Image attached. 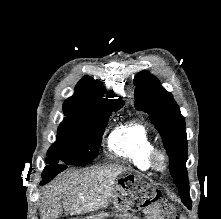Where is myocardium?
I'll return each instance as SVG.
<instances>
[{"instance_id":"f54148a6","label":"myocardium","mask_w":221,"mask_h":219,"mask_svg":"<svg viewBox=\"0 0 221 219\" xmlns=\"http://www.w3.org/2000/svg\"><path fill=\"white\" fill-rule=\"evenodd\" d=\"M149 162L154 170L163 172L168 166V157L163 150L155 148L149 155Z\"/></svg>"}]
</instances>
